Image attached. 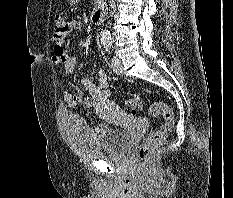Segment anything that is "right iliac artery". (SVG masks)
<instances>
[{"label": "right iliac artery", "instance_id": "right-iliac-artery-1", "mask_svg": "<svg viewBox=\"0 0 233 198\" xmlns=\"http://www.w3.org/2000/svg\"><path fill=\"white\" fill-rule=\"evenodd\" d=\"M105 48H106L107 52H110V46H109V44L105 45Z\"/></svg>", "mask_w": 233, "mask_h": 198}]
</instances>
